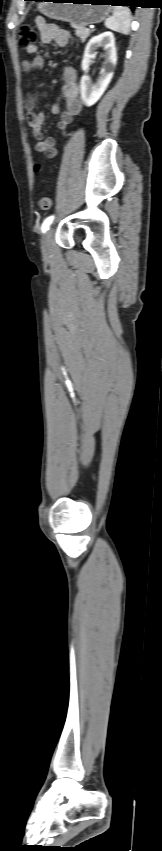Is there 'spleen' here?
I'll return each instance as SVG.
<instances>
[{
  "label": "spleen",
  "instance_id": "spleen-1",
  "mask_svg": "<svg viewBox=\"0 0 162 851\" xmlns=\"http://www.w3.org/2000/svg\"><path fill=\"white\" fill-rule=\"evenodd\" d=\"M105 27L124 35L130 32V10L127 7H114L112 16L105 20Z\"/></svg>",
  "mask_w": 162,
  "mask_h": 851
}]
</instances>
